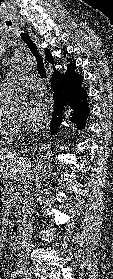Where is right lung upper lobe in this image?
I'll use <instances>...</instances> for the list:
<instances>
[{
	"label": "right lung upper lobe",
	"instance_id": "obj_1",
	"mask_svg": "<svg viewBox=\"0 0 113 279\" xmlns=\"http://www.w3.org/2000/svg\"><path fill=\"white\" fill-rule=\"evenodd\" d=\"M46 50V57L48 59V61H50L52 64L54 63V58L52 57L51 53H50V50L49 49H45ZM67 54V52H64V55ZM68 67V70L75 67L74 64H69L67 65ZM56 74H60L56 69H54V73L53 75H56Z\"/></svg>",
	"mask_w": 113,
	"mask_h": 279
}]
</instances>
